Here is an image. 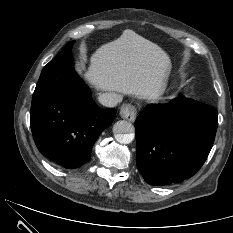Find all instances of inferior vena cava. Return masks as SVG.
<instances>
[{
	"label": "inferior vena cava",
	"instance_id": "obj_1",
	"mask_svg": "<svg viewBox=\"0 0 233 233\" xmlns=\"http://www.w3.org/2000/svg\"><path fill=\"white\" fill-rule=\"evenodd\" d=\"M99 102L106 107H115L122 100L120 94L109 92L103 93L98 97Z\"/></svg>",
	"mask_w": 233,
	"mask_h": 233
}]
</instances>
